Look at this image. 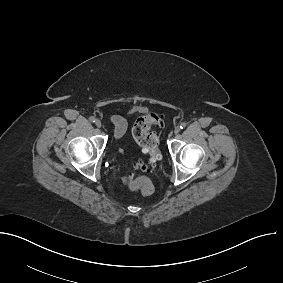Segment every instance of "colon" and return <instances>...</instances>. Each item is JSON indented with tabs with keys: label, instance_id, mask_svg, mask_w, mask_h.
Instances as JSON below:
<instances>
[{
	"label": "colon",
	"instance_id": "colon-1",
	"mask_svg": "<svg viewBox=\"0 0 283 283\" xmlns=\"http://www.w3.org/2000/svg\"><path fill=\"white\" fill-rule=\"evenodd\" d=\"M163 125L162 116L155 112L146 113L138 117L132 127V134L136 142L140 145L143 152L149 155L148 163L144 161H137L134 166L142 171L150 172L159 159L158 151V137L153 131L154 127ZM127 185L132 191H140L143 195H149L153 192V184L147 177H140L127 179Z\"/></svg>",
	"mask_w": 283,
	"mask_h": 283
}]
</instances>
